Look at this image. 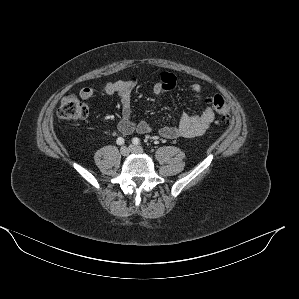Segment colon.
<instances>
[{
  "label": "colon",
  "mask_w": 299,
  "mask_h": 299,
  "mask_svg": "<svg viewBox=\"0 0 299 299\" xmlns=\"http://www.w3.org/2000/svg\"><path fill=\"white\" fill-rule=\"evenodd\" d=\"M211 105L223 123L231 122L230 106L221 95H214L210 99ZM89 109L86 103L73 94H67L57 111L58 117L63 120L78 122L85 119Z\"/></svg>",
  "instance_id": "colon-1"
}]
</instances>
